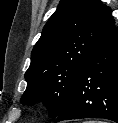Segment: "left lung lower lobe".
I'll list each match as a JSON object with an SVG mask.
<instances>
[{
	"instance_id": "left-lung-lower-lobe-1",
	"label": "left lung lower lobe",
	"mask_w": 118,
	"mask_h": 123,
	"mask_svg": "<svg viewBox=\"0 0 118 123\" xmlns=\"http://www.w3.org/2000/svg\"><path fill=\"white\" fill-rule=\"evenodd\" d=\"M105 118L118 123V31L113 26L81 70L56 122Z\"/></svg>"
}]
</instances>
